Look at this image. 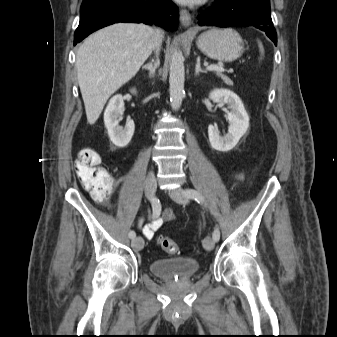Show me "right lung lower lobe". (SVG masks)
I'll return each mask as SVG.
<instances>
[{"instance_id":"obj_1","label":"right lung lower lobe","mask_w":337,"mask_h":337,"mask_svg":"<svg viewBox=\"0 0 337 337\" xmlns=\"http://www.w3.org/2000/svg\"><path fill=\"white\" fill-rule=\"evenodd\" d=\"M178 19V7L171 0H83L74 45L113 23H155L174 31L178 28Z\"/></svg>"}]
</instances>
